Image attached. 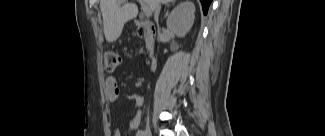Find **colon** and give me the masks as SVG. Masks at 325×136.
Returning <instances> with one entry per match:
<instances>
[{
  "instance_id": "5ec220e1",
  "label": "colon",
  "mask_w": 325,
  "mask_h": 136,
  "mask_svg": "<svg viewBox=\"0 0 325 136\" xmlns=\"http://www.w3.org/2000/svg\"><path fill=\"white\" fill-rule=\"evenodd\" d=\"M140 34L143 35L144 32L140 31ZM103 59H104V70L107 73H113L116 71V69L119 67V65L121 64V55L113 50V49H108L104 52L103 55Z\"/></svg>"
}]
</instances>
